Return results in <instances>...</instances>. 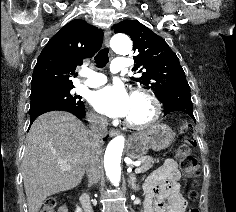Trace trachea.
Returning <instances> with one entry per match:
<instances>
[{"label": "trachea", "instance_id": "3493384b", "mask_svg": "<svg viewBox=\"0 0 236 212\" xmlns=\"http://www.w3.org/2000/svg\"><path fill=\"white\" fill-rule=\"evenodd\" d=\"M108 48L101 49L95 56V62L98 68L105 67L109 62Z\"/></svg>", "mask_w": 236, "mask_h": 212}]
</instances>
